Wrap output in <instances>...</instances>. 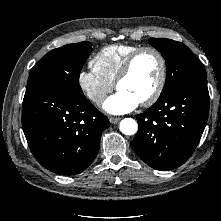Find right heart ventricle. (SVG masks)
I'll use <instances>...</instances> for the list:
<instances>
[{"instance_id":"e07e8e85","label":"right heart ventricle","mask_w":221,"mask_h":221,"mask_svg":"<svg viewBox=\"0 0 221 221\" xmlns=\"http://www.w3.org/2000/svg\"><path fill=\"white\" fill-rule=\"evenodd\" d=\"M140 48L136 44H112L99 50L91 60L92 68L112 83L124 65L127 57Z\"/></svg>"}]
</instances>
